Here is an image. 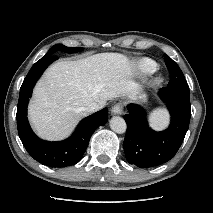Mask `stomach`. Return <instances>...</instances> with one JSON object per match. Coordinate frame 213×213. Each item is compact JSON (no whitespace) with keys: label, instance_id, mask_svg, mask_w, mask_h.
Returning <instances> with one entry per match:
<instances>
[{"label":"stomach","instance_id":"obj_1","mask_svg":"<svg viewBox=\"0 0 213 213\" xmlns=\"http://www.w3.org/2000/svg\"><path fill=\"white\" fill-rule=\"evenodd\" d=\"M134 99L144 100L146 98L145 94L137 93L134 97Z\"/></svg>","mask_w":213,"mask_h":213}]
</instances>
